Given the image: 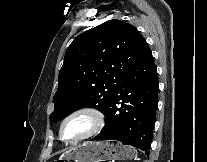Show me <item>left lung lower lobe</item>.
I'll use <instances>...</instances> for the list:
<instances>
[{"label": "left lung lower lobe", "mask_w": 207, "mask_h": 162, "mask_svg": "<svg viewBox=\"0 0 207 162\" xmlns=\"http://www.w3.org/2000/svg\"><path fill=\"white\" fill-rule=\"evenodd\" d=\"M158 87L157 70L149 50L117 89L105 114V127L91 140L120 141L149 155Z\"/></svg>", "instance_id": "0a47b994"}]
</instances>
